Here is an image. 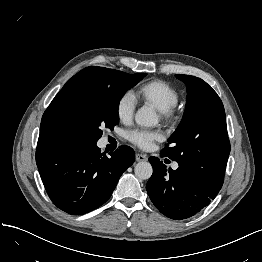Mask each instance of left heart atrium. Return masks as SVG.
Here are the masks:
<instances>
[{
	"mask_svg": "<svg viewBox=\"0 0 262 262\" xmlns=\"http://www.w3.org/2000/svg\"><path fill=\"white\" fill-rule=\"evenodd\" d=\"M161 138L162 134L158 130L135 129L128 133V139L141 149L151 148Z\"/></svg>",
	"mask_w": 262,
	"mask_h": 262,
	"instance_id": "obj_1",
	"label": "left heart atrium"
}]
</instances>
